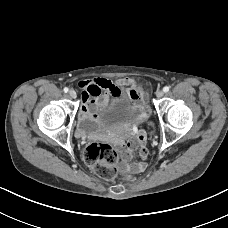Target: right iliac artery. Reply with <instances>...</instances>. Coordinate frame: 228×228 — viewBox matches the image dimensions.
<instances>
[{"label":"right iliac artery","instance_id":"obj_1","mask_svg":"<svg viewBox=\"0 0 228 228\" xmlns=\"http://www.w3.org/2000/svg\"><path fill=\"white\" fill-rule=\"evenodd\" d=\"M69 89L67 87L64 88V92L67 93Z\"/></svg>","mask_w":228,"mask_h":228}]
</instances>
